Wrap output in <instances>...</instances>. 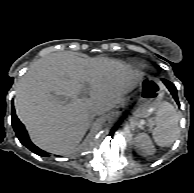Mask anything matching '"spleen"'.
Listing matches in <instances>:
<instances>
[{"mask_svg": "<svg viewBox=\"0 0 194 193\" xmlns=\"http://www.w3.org/2000/svg\"><path fill=\"white\" fill-rule=\"evenodd\" d=\"M178 121L179 114L174 106L169 102H162L157 111L156 127L153 131V138L159 146L173 144L179 132Z\"/></svg>", "mask_w": 194, "mask_h": 193, "instance_id": "3e777b00", "label": "spleen"}]
</instances>
